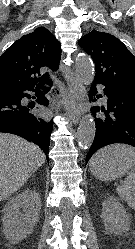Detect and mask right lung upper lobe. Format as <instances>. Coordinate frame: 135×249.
<instances>
[{
    "label": "right lung upper lobe",
    "mask_w": 135,
    "mask_h": 249,
    "mask_svg": "<svg viewBox=\"0 0 135 249\" xmlns=\"http://www.w3.org/2000/svg\"><path fill=\"white\" fill-rule=\"evenodd\" d=\"M60 56L58 40L48 29L36 28L15 41L0 56V91L34 88L40 69L58 70Z\"/></svg>",
    "instance_id": "cb5924a9"
}]
</instances>
